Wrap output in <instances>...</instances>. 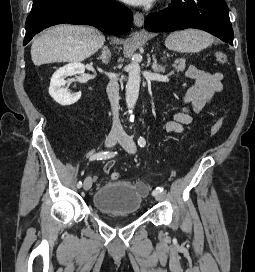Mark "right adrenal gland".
Returning <instances> with one entry per match:
<instances>
[{
	"mask_svg": "<svg viewBox=\"0 0 255 272\" xmlns=\"http://www.w3.org/2000/svg\"><path fill=\"white\" fill-rule=\"evenodd\" d=\"M111 58L110 50L107 46L102 47L101 55L98 57L99 60L102 61L103 64L107 65Z\"/></svg>",
	"mask_w": 255,
	"mask_h": 272,
	"instance_id": "2a0ac1e0",
	"label": "right adrenal gland"
}]
</instances>
